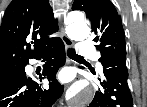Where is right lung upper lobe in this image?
I'll list each match as a JSON object with an SVG mask.
<instances>
[{
  "instance_id": "1",
  "label": "right lung upper lobe",
  "mask_w": 147,
  "mask_h": 107,
  "mask_svg": "<svg viewBox=\"0 0 147 107\" xmlns=\"http://www.w3.org/2000/svg\"><path fill=\"white\" fill-rule=\"evenodd\" d=\"M57 31L58 21L48 0H12L0 27V69L25 67L59 39L48 37Z\"/></svg>"
}]
</instances>
